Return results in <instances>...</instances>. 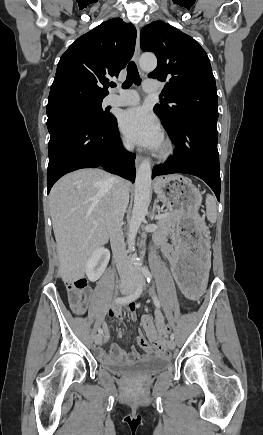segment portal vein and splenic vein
<instances>
[{
  "label": "portal vein and splenic vein",
  "mask_w": 263,
  "mask_h": 435,
  "mask_svg": "<svg viewBox=\"0 0 263 435\" xmlns=\"http://www.w3.org/2000/svg\"><path fill=\"white\" fill-rule=\"evenodd\" d=\"M163 216H165V214H159V215L156 217V219H160V218H162ZM95 225H97V223H95Z\"/></svg>",
  "instance_id": "obj_1"
}]
</instances>
